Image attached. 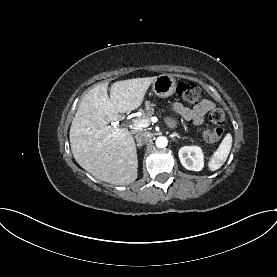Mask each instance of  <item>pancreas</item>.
<instances>
[{"label": "pancreas", "instance_id": "pancreas-1", "mask_svg": "<svg viewBox=\"0 0 277 277\" xmlns=\"http://www.w3.org/2000/svg\"><path fill=\"white\" fill-rule=\"evenodd\" d=\"M154 103L146 102L145 103V110H141L143 115L139 117L138 119H149L154 114Z\"/></svg>", "mask_w": 277, "mask_h": 277}]
</instances>
